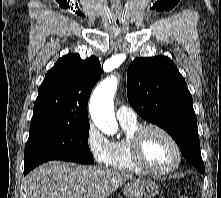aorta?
<instances>
[{
    "instance_id": "aorta-1",
    "label": "aorta",
    "mask_w": 221,
    "mask_h": 198,
    "mask_svg": "<svg viewBox=\"0 0 221 198\" xmlns=\"http://www.w3.org/2000/svg\"><path fill=\"white\" fill-rule=\"evenodd\" d=\"M118 86V78L111 75L101 81L93 91L89 103L91 119L96 127L107 135L118 131L113 100Z\"/></svg>"
}]
</instances>
